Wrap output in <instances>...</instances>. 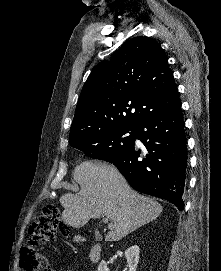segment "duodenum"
<instances>
[{"instance_id":"1","label":"duodenum","mask_w":221,"mask_h":271,"mask_svg":"<svg viewBox=\"0 0 221 271\" xmlns=\"http://www.w3.org/2000/svg\"><path fill=\"white\" fill-rule=\"evenodd\" d=\"M102 245L100 243L94 244L89 251V260L92 264H97L101 260Z\"/></svg>"}]
</instances>
